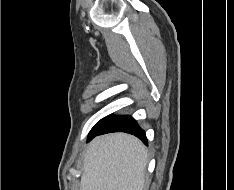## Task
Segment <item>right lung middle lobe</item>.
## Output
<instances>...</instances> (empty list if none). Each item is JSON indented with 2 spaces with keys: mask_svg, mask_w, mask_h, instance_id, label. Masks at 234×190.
<instances>
[{
  "mask_svg": "<svg viewBox=\"0 0 234 190\" xmlns=\"http://www.w3.org/2000/svg\"><path fill=\"white\" fill-rule=\"evenodd\" d=\"M110 116H111V115H109V116H107V117L101 119V120L92 128L91 132L94 131V130L99 129L100 127H102V126L106 123V121L109 119Z\"/></svg>",
  "mask_w": 234,
  "mask_h": 190,
  "instance_id": "dd1d6c3e",
  "label": "right lung middle lobe"
}]
</instances>
